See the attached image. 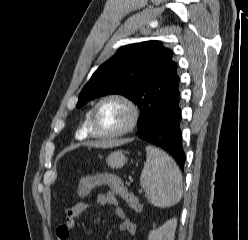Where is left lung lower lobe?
<instances>
[{"mask_svg":"<svg viewBox=\"0 0 248 240\" xmlns=\"http://www.w3.org/2000/svg\"><path fill=\"white\" fill-rule=\"evenodd\" d=\"M181 121V108L177 98L155 114L147 127L139 132V138L167 151L183 170L186 156L182 146Z\"/></svg>","mask_w":248,"mask_h":240,"instance_id":"1","label":"left lung lower lobe"}]
</instances>
